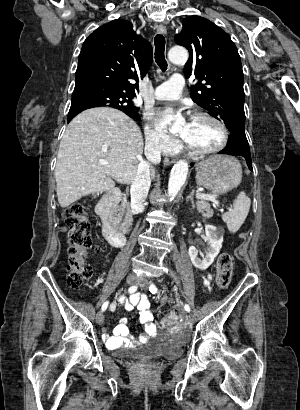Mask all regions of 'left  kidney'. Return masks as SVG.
I'll return each mask as SVG.
<instances>
[{"instance_id":"1","label":"left kidney","mask_w":300,"mask_h":410,"mask_svg":"<svg viewBox=\"0 0 300 410\" xmlns=\"http://www.w3.org/2000/svg\"><path fill=\"white\" fill-rule=\"evenodd\" d=\"M205 234L209 247L202 259L198 257V250L194 246H190L188 250L192 264L200 270H206L213 263L223 242V231L213 225H205Z\"/></svg>"}]
</instances>
